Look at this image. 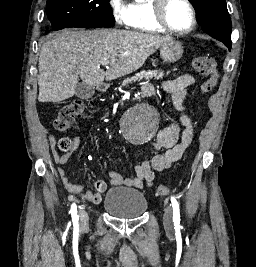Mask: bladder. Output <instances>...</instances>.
I'll return each instance as SVG.
<instances>
[{"label":"bladder","instance_id":"obj_1","mask_svg":"<svg viewBox=\"0 0 256 267\" xmlns=\"http://www.w3.org/2000/svg\"><path fill=\"white\" fill-rule=\"evenodd\" d=\"M102 206L113 216L131 218L140 216L147 209V200L138 190L117 188L106 194Z\"/></svg>","mask_w":256,"mask_h":267}]
</instances>
